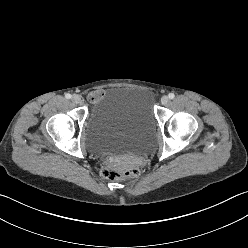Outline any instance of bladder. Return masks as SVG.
I'll return each mask as SVG.
<instances>
[{
	"instance_id": "31cf9c89",
	"label": "bladder",
	"mask_w": 248,
	"mask_h": 248,
	"mask_svg": "<svg viewBox=\"0 0 248 248\" xmlns=\"http://www.w3.org/2000/svg\"><path fill=\"white\" fill-rule=\"evenodd\" d=\"M155 123L146 91L132 87L113 88L90 112L88 146L101 155H142L152 146Z\"/></svg>"
}]
</instances>
